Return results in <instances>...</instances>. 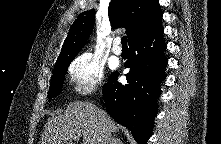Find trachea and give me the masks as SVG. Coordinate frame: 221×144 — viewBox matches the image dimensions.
Segmentation results:
<instances>
[{"label": "trachea", "instance_id": "3493384b", "mask_svg": "<svg viewBox=\"0 0 221 144\" xmlns=\"http://www.w3.org/2000/svg\"><path fill=\"white\" fill-rule=\"evenodd\" d=\"M121 42H122V47H127V36H123Z\"/></svg>", "mask_w": 221, "mask_h": 144}]
</instances>
